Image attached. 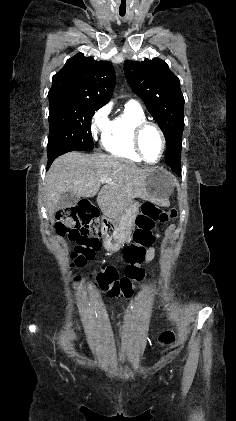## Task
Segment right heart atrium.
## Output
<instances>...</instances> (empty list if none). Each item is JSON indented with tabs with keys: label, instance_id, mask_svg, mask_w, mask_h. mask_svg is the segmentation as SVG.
Returning <instances> with one entry per match:
<instances>
[{
	"label": "right heart atrium",
	"instance_id": "right-heart-atrium-1",
	"mask_svg": "<svg viewBox=\"0 0 236 421\" xmlns=\"http://www.w3.org/2000/svg\"><path fill=\"white\" fill-rule=\"evenodd\" d=\"M108 113L109 110L107 108H102L93 115L91 121V135L93 139L97 138L99 132L106 125Z\"/></svg>",
	"mask_w": 236,
	"mask_h": 421
}]
</instances>
